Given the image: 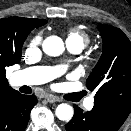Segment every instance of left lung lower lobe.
<instances>
[{
    "instance_id": "1",
    "label": "left lung lower lobe",
    "mask_w": 131,
    "mask_h": 131,
    "mask_svg": "<svg viewBox=\"0 0 131 131\" xmlns=\"http://www.w3.org/2000/svg\"><path fill=\"white\" fill-rule=\"evenodd\" d=\"M120 127L101 110L93 107L83 112L77 105L72 120L65 125L66 131H117Z\"/></svg>"
}]
</instances>
